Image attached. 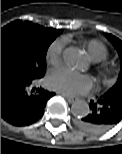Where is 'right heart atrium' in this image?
<instances>
[{
    "mask_svg": "<svg viewBox=\"0 0 122 154\" xmlns=\"http://www.w3.org/2000/svg\"><path fill=\"white\" fill-rule=\"evenodd\" d=\"M64 51V42L63 40L54 41L48 48L46 60L47 63L52 66H58L62 61Z\"/></svg>",
    "mask_w": 122,
    "mask_h": 154,
    "instance_id": "1",
    "label": "right heart atrium"
}]
</instances>
